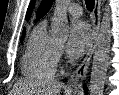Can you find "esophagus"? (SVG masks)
<instances>
[{
  "label": "esophagus",
  "instance_id": "esophagus-1",
  "mask_svg": "<svg viewBox=\"0 0 119 95\" xmlns=\"http://www.w3.org/2000/svg\"><path fill=\"white\" fill-rule=\"evenodd\" d=\"M100 19H101V0H95L93 14H92V24H93L92 41L81 64L77 67V69L73 72V74L68 79L66 86L69 89L76 90V91L80 90L83 81L86 78L91 63L92 55L97 45L99 29H100Z\"/></svg>",
  "mask_w": 119,
  "mask_h": 95
}]
</instances>
